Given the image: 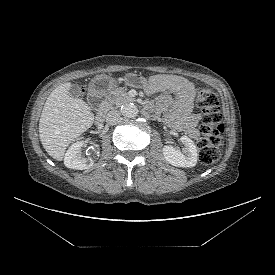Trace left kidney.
I'll use <instances>...</instances> for the list:
<instances>
[{
    "instance_id": "5707ae66",
    "label": "left kidney",
    "mask_w": 275,
    "mask_h": 275,
    "mask_svg": "<svg viewBox=\"0 0 275 275\" xmlns=\"http://www.w3.org/2000/svg\"><path fill=\"white\" fill-rule=\"evenodd\" d=\"M180 140L184 144L183 151L181 152L171 145H166L163 147L164 158L176 167H194L198 159L194 142L187 136H182Z\"/></svg>"
}]
</instances>
